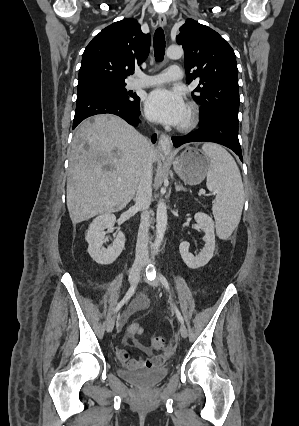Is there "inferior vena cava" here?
<instances>
[{
	"instance_id": "obj_1",
	"label": "inferior vena cava",
	"mask_w": 299,
	"mask_h": 426,
	"mask_svg": "<svg viewBox=\"0 0 299 426\" xmlns=\"http://www.w3.org/2000/svg\"><path fill=\"white\" fill-rule=\"evenodd\" d=\"M150 152L152 145L148 142ZM152 197V160L149 153L144 166L135 196V207L141 211V221L136 243V257L133 267L140 268L149 262L148 231L150 227V213L148 211Z\"/></svg>"
}]
</instances>
